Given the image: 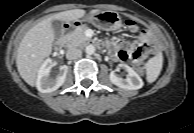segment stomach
I'll return each mask as SVG.
<instances>
[{"instance_id":"obj_1","label":"stomach","mask_w":194,"mask_h":133,"mask_svg":"<svg viewBox=\"0 0 194 133\" xmlns=\"http://www.w3.org/2000/svg\"><path fill=\"white\" fill-rule=\"evenodd\" d=\"M84 20L92 23L97 28L106 31L117 30L122 25L119 14L114 11H100L94 14H89ZM73 22L74 21H72V24Z\"/></svg>"}]
</instances>
